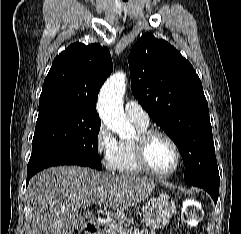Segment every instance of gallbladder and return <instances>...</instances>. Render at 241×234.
Returning a JSON list of instances; mask_svg holds the SVG:
<instances>
[{"label": "gallbladder", "mask_w": 241, "mask_h": 234, "mask_svg": "<svg viewBox=\"0 0 241 234\" xmlns=\"http://www.w3.org/2000/svg\"><path fill=\"white\" fill-rule=\"evenodd\" d=\"M77 222L79 224L78 229H82V227H83V220H82L81 216H78Z\"/></svg>", "instance_id": "bac80fb5"}]
</instances>
